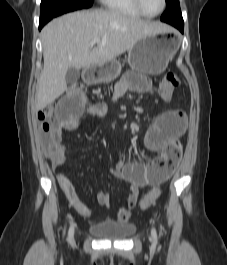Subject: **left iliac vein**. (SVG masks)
<instances>
[{
	"label": "left iliac vein",
	"mask_w": 227,
	"mask_h": 265,
	"mask_svg": "<svg viewBox=\"0 0 227 265\" xmlns=\"http://www.w3.org/2000/svg\"><path fill=\"white\" fill-rule=\"evenodd\" d=\"M151 239H152V241H153L154 243L156 242V232H155L154 229H152V231H151Z\"/></svg>",
	"instance_id": "4c4485c4"
}]
</instances>
